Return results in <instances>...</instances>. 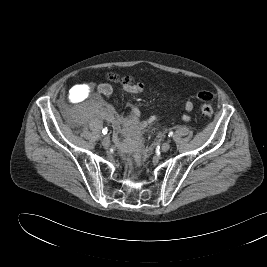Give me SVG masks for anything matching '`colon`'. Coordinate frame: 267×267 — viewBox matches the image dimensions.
I'll list each match as a JSON object with an SVG mask.
<instances>
[{
	"label": "colon",
	"mask_w": 267,
	"mask_h": 267,
	"mask_svg": "<svg viewBox=\"0 0 267 267\" xmlns=\"http://www.w3.org/2000/svg\"><path fill=\"white\" fill-rule=\"evenodd\" d=\"M108 80L114 83H121L123 85H134L136 84L132 77L130 76H122L120 77L117 74L110 73L107 75ZM197 98L201 102V113L205 117H212L213 115V108L211 106V102L214 99V95L208 91H202L198 93Z\"/></svg>",
	"instance_id": "5ec220e1"
}]
</instances>
